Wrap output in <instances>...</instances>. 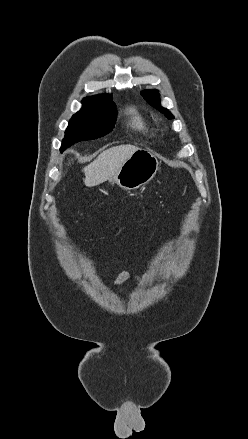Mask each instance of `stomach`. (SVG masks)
<instances>
[{
    "label": "stomach",
    "mask_w": 248,
    "mask_h": 439,
    "mask_svg": "<svg viewBox=\"0 0 248 439\" xmlns=\"http://www.w3.org/2000/svg\"><path fill=\"white\" fill-rule=\"evenodd\" d=\"M158 166L159 162L152 152L139 149L122 164L109 183L125 190H136L153 179Z\"/></svg>",
    "instance_id": "stomach-1"
}]
</instances>
